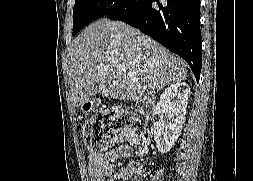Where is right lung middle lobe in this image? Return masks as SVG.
<instances>
[{"label": "right lung middle lobe", "instance_id": "right-lung-middle-lobe-1", "mask_svg": "<svg viewBox=\"0 0 253 181\" xmlns=\"http://www.w3.org/2000/svg\"><path fill=\"white\" fill-rule=\"evenodd\" d=\"M126 2L127 0H75L73 36L92 20L114 13Z\"/></svg>", "mask_w": 253, "mask_h": 181}]
</instances>
